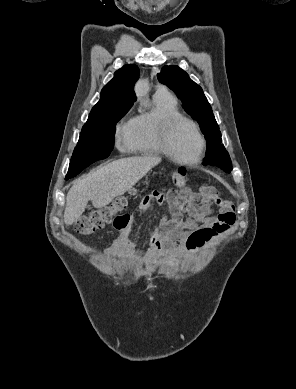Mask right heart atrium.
I'll list each match as a JSON object with an SVG mask.
<instances>
[{"label":"right heart atrium","mask_w":296,"mask_h":389,"mask_svg":"<svg viewBox=\"0 0 296 389\" xmlns=\"http://www.w3.org/2000/svg\"><path fill=\"white\" fill-rule=\"evenodd\" d=\"M128 122L119 123L115 129V143L119 148L127 146Z\"/></svg>","instance_id":"right-heart-atrium-1"}]
</instances>
